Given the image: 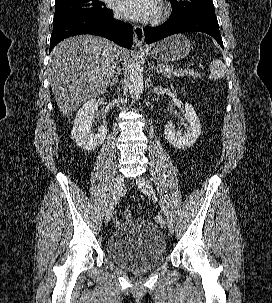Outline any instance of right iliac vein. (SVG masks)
I'll return each instance as SVG.
<instances>
[{
  "label": "right iliac vein",
  "instance_id": "63e3f726",
  "mask_svg": "<svg viewBox=\"0 0 272 303\" xmlns=\"http://www.w3.org/2000/svg\"><path fill=\"white\" fill-rule=\"evenodd\" d=\"M123 187H124L123 176L121 174H118L115 178L114 188H113V193H112V199H113V197H115L116 200L115 201L111 200L110 203H109V206L106 210V214H105V223L106 224L109 223L111 218H112L114 206H115L116 201L118 200V198L120 197V195L123 191Z\"/></svg>",
  "mask_w": 272,
  "mask_h": 303
}]
</instances>
